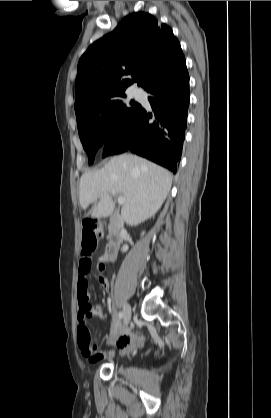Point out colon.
<instances>
[{"instance_id": "colon-1", "label": "colon", "mask_w": 271, "mask_h": 418, "mask_svg": "<svg viewBox=\"0 0 271 418\" xmlns=\"http://www.w3.org/2000/svg\"><path fill=\"white\" fill-rule=\"evenodd\" d=\"M101 236L100 225L94 221H88L83 225L82 235V255L90 260V256L96 248L97 241ZM91 266V260H90ZM79 343L85 347L92 346V339L89 327H85L83 323L79 327Z\"/></svg>"}]
</instances>
